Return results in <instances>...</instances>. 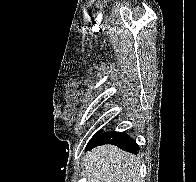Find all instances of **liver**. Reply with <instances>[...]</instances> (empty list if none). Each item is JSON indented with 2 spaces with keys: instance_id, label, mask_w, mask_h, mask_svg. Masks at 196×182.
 I'll return each instance as SVG.
<instances>
[{
  "instance_id": "liver-1",
  "label": "liver",
  "mask_w": 196,
  "mask_h": 182,
  "mask_svg": "<svg viewBox=\"0 0 196 182\" xmlns=\"http://www.w3.org/2000/svg\"><path fill=\"white\" fill-rule=\"evenodd\" d=\"M84 165L85 182H141L138 158L113 145L93 149Z\"/></svg>"
}]
</instances>
